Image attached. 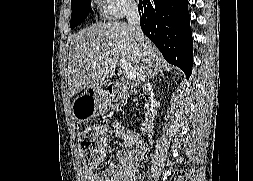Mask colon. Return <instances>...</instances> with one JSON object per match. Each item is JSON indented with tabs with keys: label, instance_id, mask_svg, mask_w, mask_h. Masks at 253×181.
Listing matches in <instances>:
<instances>
[{
	"label": "colon",
	"instance_id": "obj_1",
	"mask_svg": "<svg viewBox=\"0 0 253 181\" xmlns=\"http://www.w3.org/2000/svg\"><path fill=\"white\" fill-rule=\"evenodd\" d=\"M107 147L106 134L101 127L84 129L79 136V150L83 164L88 169H95L102 161Z\"/></svg>",
	"mask_w": 253,
	"mask_h": 181
}]
</instances>
